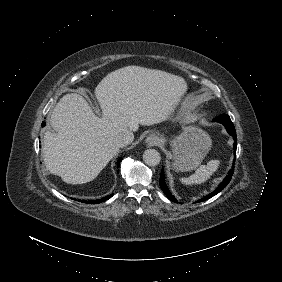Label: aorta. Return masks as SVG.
Masks as SVG:
<instances>
[{"mask_svg":"<svg viewBox=\"0 0 282 282\" xmlns=\"http://www.w3.org/2000/svg\"><path fill=\"white\" fill-rule=\"evenodd\" d=\"M143 160L149 166L158 165L160 162V154L155 149H151V148L146 149L143 152Z\"/></svg>","mask_w":282,"mask_h":282,"instance_id":"762f6f07","label":"aorta"}]
</instances>
